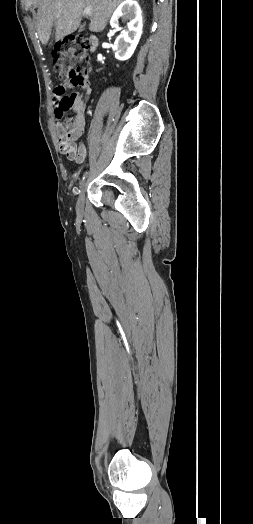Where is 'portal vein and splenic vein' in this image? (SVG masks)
<instances>
[{
  "instance_id": "portal-vein-and-splenic-vein-1",
  "label": "portal vein and splenic vein",
  "mask_w": 253,
  "mask_h": 524,
  "mask_svg": "<svg viewBox=\"0 0 253 524\" xmlns=\"http://www.w3.org/2000/svg\"><path fill=\"white\" fill-rule=\"evenodd\" d=\"M84 14L88 16L92 15V9L90 7H85Z\"/></svg>"
}]
</instances>
